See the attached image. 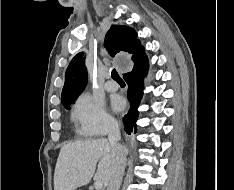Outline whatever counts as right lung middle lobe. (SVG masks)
I'll list each match as a JSON object with an SVG mask.
<instances>
[{
	"label": "right lung middle lobe",
	"mask_w": 234,
	"mask_h": 190,
	"mask_svg": "<svg viewBox=\"0 0 234 190\" xmlns=\"http://www.w3.org/2000/svg\"><path fill=\"white\" fill-rule=\"evenodd\" d=\"M74 101H75V100L70 101V102H68V103H65V104H63V106H64L66 109H69V108H70V105L73 104Z\"/></svg>",
	"instance_id": "right-lung-middle-lobe-1"
}]
</instances>
